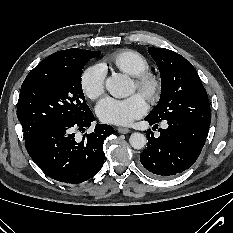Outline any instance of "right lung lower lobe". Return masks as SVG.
<instances>
[{
  "instance_id": "right-lung-lower-lobe-1",
  "label": "right lung lower lobe",
  "mask_w": 233,
  "mask_h": 233,
  "mask_svg": "<svg viewBox=\"0 0 233 233\" xmlns=\"http://www.w3.org/2000/svg\"><path fill=\"white\" fill-rule=\"evenodd\" d=\"M93 120L90 112L75 123L41 131L25 141L28 154L54 180L78 184L90 179L103 165L104 140L114 133L113 127L97 124L94 132L85 133L78 141L74 131L85 132Z\"/></svg>"
}]
</instances>
